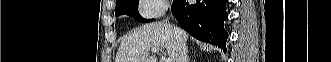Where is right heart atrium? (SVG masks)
<instances>
[{
  "label": "right heart atrium",
  "mask_w": 331,
  "mask_h": 62,
  "mask_svg": "<svg viewBox=\"0 0 331 62\" xmlns=\"http://www.w3.org/2000/svg\"><path fill=\"white\" fill-rule=\"evenodd\" d=\"M141 12L147 18L160 16L168 8V2L162 0H143L140 2Z\"/></svg>",
  "instance_id": "d8ad5b80"
}]
</instances>
